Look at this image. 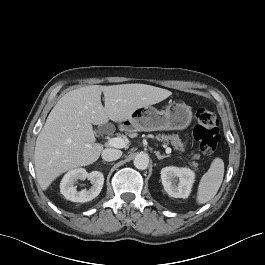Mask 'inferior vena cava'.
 <instances>
[{"label":"inferior vena cava","instance_id":"inferior-vena-cava-1","mask_svg":"<svg viewBox=\"0 0 265 265\" xmlns=\"http://www.w3.org/2000/svg\"><path fill=\"white\" fill-rule=\"evenodd\" d=\"M122 155V151L113 148H106L102 151V159L105 161H115Z\"/></svg>","mask_w":265,"mask_h":265}]
</instances>
